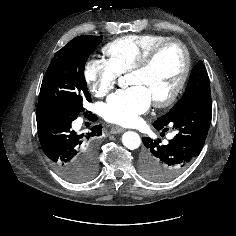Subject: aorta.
Returning a JSON list of instances; mask_svg holds the SVG:
<instances>
[{"label": "aorta", "instance_id": "obj_1", "mask_svg": "<svg viewBox=\"0 0 236 236\" xmlns=\"http://www.w3.org/2000/svg\"><path fill=\"white\" fill-rule=\"evenodd\" d=\"M122 143L126 148L134 150L140 146L141 138L136 132L127 131L122 136Z\"/></svg>", "mask_w": 236, "mask_h": 236}]
</instances>
